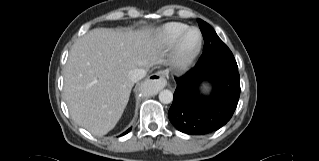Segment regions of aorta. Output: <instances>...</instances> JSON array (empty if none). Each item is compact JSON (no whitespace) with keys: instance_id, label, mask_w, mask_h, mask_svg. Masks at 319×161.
<instances>
[{"instance_id":"aorta-1","label":"aorta","mask_w":319,"mask_h":161,"mask_svg":"<svg viewBox=\"0 0 319 161\" xmlns=\"http://www.w3.org/2000/svg\"><path fill=\"white\" fill-rule=\"evenodd\" d=\"M159 100L163 104H169L173 100V93L170 90H167V89L162 90L159 93Z\"/></svg>"}]
</instances>
